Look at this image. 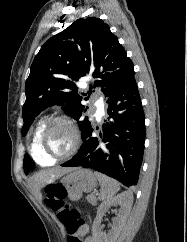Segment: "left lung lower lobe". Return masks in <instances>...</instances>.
Masks as SVG:
<instances>
[{"mask_svg": "<svg viewBox=\"0 0 187 242\" xmlns=\"http://www.w3.org/2000/svg\"><path fill=\"white\" fill-rule=\"evenodd\" d=\"M107 103L103 133L94 136L91 128L76 155L61 166L90 168L133 186L138 182L145 142V117L135 77L113 92Z\"/></svg>", "mask_w": 187, "mask_h": 242, "instance_id": "0a47b994", "label": "left lung lower lobe"}]
</instances>
